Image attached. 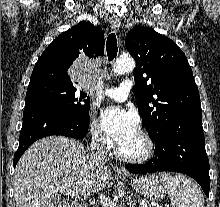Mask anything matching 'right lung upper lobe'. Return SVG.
I'll list each match as a JSON object with an SVG mask.
<instances>
[{"instance_id": "1", "label": "right lung upper lobe", "mask_w": 220, "mask_h": 207, "mask_svg": "<svg viewBox=\"0 0 220 207\" xmlns=\"http://www.w3.org/2000/svg\"><path fill=\"white\" fill-rule=\"evenodd\" d=\"M102 28L89 21L76 26L55 38L39 57L30 77L29 85L54 82L73 85L68 70L79 54L95 59L104 54Z\"/></svg>"}]
</instances>
